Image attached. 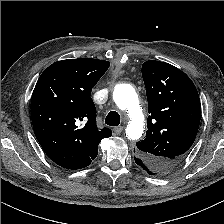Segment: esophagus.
Listing matches in <instances>:
<instances>
[{
    "label": "esophagus",
    "instance_id": "obj_1",
    "mask_svg": "<svg viewBox=\"0 0 224 224\" xmlns=\"http://www.w3.org/2000/svg\"><path fill=\"white\" fill-rule=\"evenodd\" d=\"M115 134H120L123 131V126H118L113 129Z\"/></svg>",
    "mask_w": 224,
    "mask_h": 224
}]
</instances>
